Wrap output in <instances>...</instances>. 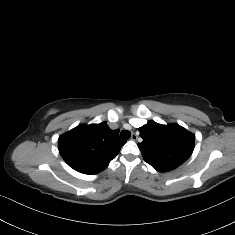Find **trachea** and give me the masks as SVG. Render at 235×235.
Listing matches in <instances>:
<instances>
[{"label": "trachea", "mask_w": 235, "mask_h": 235, "mask_svg": "<svg viewBox=\"0 0 235 235\" xmlns=\"http://www.w3.org/2000/svg\"><path fill=\"white\" fill-rule=\"evenodd\" d=\"M130 136H131V132L128 131V130H122L121 133H120V137H121V139H123V140L129 139Z\"/></svg>", "instance_id": "trachea-1"}]
</instances>
